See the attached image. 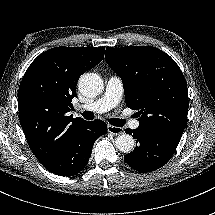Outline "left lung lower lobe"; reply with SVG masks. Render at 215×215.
<instances>
[{"mask_svg":"<svg viewBox=\"0 0 215 215\" xmlns=\"http://www.w3.org/2000/svg\"><path fill=\"white\" fill-rule=\"evenodd\" d=\"M184 130L177 128L138 127L126 129L133 134L136 147L124 156L126 163L139 172L154 171L164 166L174 154Z\"/></svg>","mask_w":215,"mask_h":215,"instance_id":"obj_1","label":"left lung lower lobe"}]
</instances>
